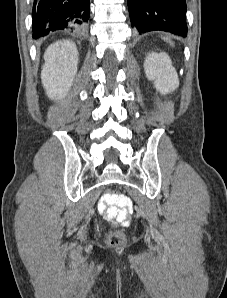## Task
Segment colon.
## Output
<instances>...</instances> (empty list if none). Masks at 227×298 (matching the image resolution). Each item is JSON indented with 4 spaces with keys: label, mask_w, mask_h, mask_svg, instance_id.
I'll list each match as a JSON object with an SVG mask.
<instances>
[{
    "label": "colon",
    "mask_w": 227,
    "mask_h": 298,
    "mask_svg": "<svg viewBox=\"0 0 227 298\" xmlns=\"http://www.w3.org/2000/svg\"><path fill=\"white\" fill-rule=\"evenodd\" d=\"M100 205L104 208V213L108 219L121 217L126 220L128 214L131 212L130 200L117 193H106L103 195ZM125 241V235L122 231L111 228L106 233V242L111 246H119Z\"/></svg>",
    "instance_id": "1"
}]
</instances>
